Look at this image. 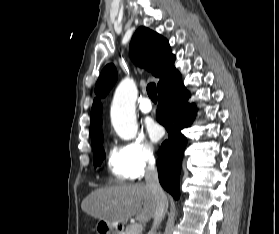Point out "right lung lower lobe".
Masks as SVG:
<instances>
[{"mask_svg":"<svg viewBox=\"0 0 279 234\" xmlns=\"http://www.w3.org/2000/svg\"><path fill=\"white\" fill-rule=\"evenodd\" d=\"M189 97L190 93L182 84L180 73L158 90L159 106L156 118L169 135L159 151L157 161L159 181L175 199H178L180 194L179 175L187 143L181 130L188 127L196 115L195 106L187 102Z\"/></svg>","mask_w":279,"mask_h":234,"instance_id":"1","label":"right lung lower lobe"}]
</instances>
